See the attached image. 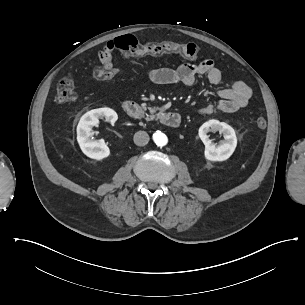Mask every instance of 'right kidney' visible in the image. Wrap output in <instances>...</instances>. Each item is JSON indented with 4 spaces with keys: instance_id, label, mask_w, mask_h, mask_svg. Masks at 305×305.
<instances>
[{
    "instance_id": "1",
    "label": "right kidney",
    "mask_w": 305,
    "mask_h": 305,
    "mask_svg": "<svg viewBox=\"0 0 305 305\" xmlns=\"http://www.w3.org/2000/svg\"><path fill=\"white\" fill-rule=\"evenodd\" d=\"M100 118H106L111 123L118 119L117 113L110 108L94 109L84 114L77 127V140L83 153L93 159L101 160L110 154V150L102 140L90 139L91 129L97 126Z\"/></svg>"
}]
</instances>
